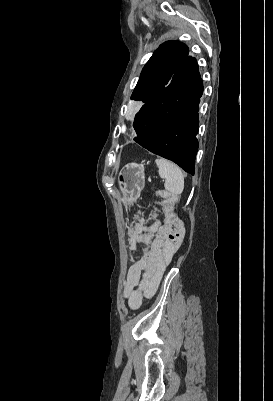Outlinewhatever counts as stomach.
<instances>
[{
    "label": "stomach",
    "mask_w": 273,
    "mask_h": 401,
    "mask_svg": "<svg viewBox=\"0 0 273 401\" xmlns=\"http://www.w3.org/2000/svg\"><path fill=\"white\" fill-rule=\"evenodd\" d=\"M118 184L121 192L119 203L128 209L136 203L145 186L144 166L138 162L125 164L118 174Z\"/></svg>",
    "instance_id": "1"
}]
</instances>
